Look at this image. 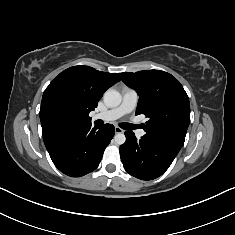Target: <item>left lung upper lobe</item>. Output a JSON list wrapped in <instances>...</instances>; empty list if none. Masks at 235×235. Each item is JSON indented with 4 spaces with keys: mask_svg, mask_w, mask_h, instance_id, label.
Returning a JSON list of instances; mask_svg holds the SVG:
<instances>
[{
    "mask_svg": "<svg viewBox=\"0 0 235 235\" xmlns=\"http://www.w3.org/2000/svg\"><path fill=\"white\" fill-rule=\"evenodd\" d=\"M122 81L139 95L136 115L149 120L146 135L162 138L183 146L190 123L187 93L171 74L160 70L119 73Z\"/></svg>",
    "mask_w": 235,
    "mask_h": 235,
    "instance_id": "left-lung-upper-lobe-1",
    "label": "left lung upper lobe"
}]
</instances>
